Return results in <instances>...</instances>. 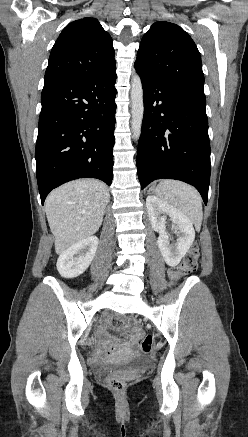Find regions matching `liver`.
<instances>
[{
    "label": "liver",
    "instance_id": "1",
    "mask_svg": "<svg viewBox=\"0 0 248 437\" xmlns=\"http://www.w3.org/2000/svg\"><path fill=\"white\" fill-rule=\"evenodd\" d=\"M109 199L107 186L93 179L66 183L48 195L45 211L57 254L98 231Z\"/></svg>",
    "mask_w": 248,
    "mask_h": 437
}]
</instances>
